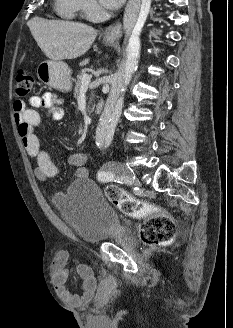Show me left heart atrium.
<instances>
[{"mask_svg":"<svg viewBox=\"0 0 233 328\" xmlns=\"http://www.w3.org/2000/svg\"><path fill=\"white\" fill-rule=\"evenodd\" d=\"M100 1L105 7L110 9L118 8L124 2V0H100Z\"/></svg>","mask_w":233,"mask_h":328,"instance_id":"39dd6f15","label":"left heart atrium"}]
</instances>
